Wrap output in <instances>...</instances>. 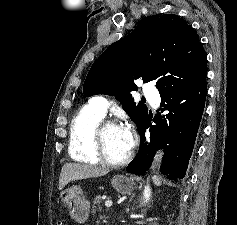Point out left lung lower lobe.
Here are the masks:
<instances>
[{"label":"left lung lower lobe","instance_id":"1","mask_svg":"<svg viewBox=\"0 0 237 225\" xmlns=\"http://www.w3.org/2000/svg\"><path fill=\"white\" fill-rule=\"evenodd\" d=\"M160 111L166 115L156 116L151 123L150 113L138 127L140 150L126 168L127 172L141 175L153 160L155 152L165 149L160 171L170 180L182 179L188 168L207 96L206 76L196 84H187L174 91L160 93ZM151 132L150 139L145 132Z\"/></svg>","mask_w":237,"mask_h":225}]
</instances>
